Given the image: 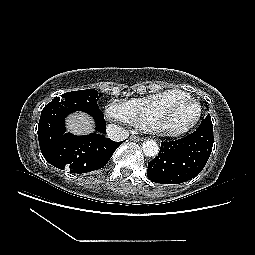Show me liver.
I'll return each mask as SVG.
<instances>
[{"label":"liver","instance_id":"obj_1","mask_svg":"<svg viewBox=\"0 0 255 255\" xmlns=\"http://www.w3.org/2000/svg\"><path fill=\"white\" fill-rule=\"evenodd\" d=\"M66 126L68 131L75 135H87L94 130L93 120L82 112L70 115L66 120Z\"/></svg>","mask_w":255,"mask_h":255}]
</instances>
